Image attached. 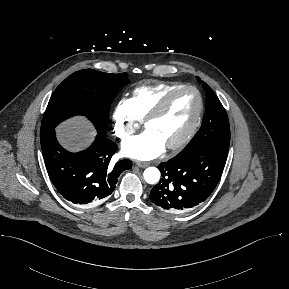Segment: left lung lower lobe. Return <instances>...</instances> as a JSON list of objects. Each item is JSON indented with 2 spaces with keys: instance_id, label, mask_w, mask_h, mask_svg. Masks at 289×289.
Wrapping results in <instances>:
<instances>
[{
  "instance_id": "1",
  "label": "left lung lower lobe",
  "mask_w": 289,
  "mask_h": 289,
  "mask_svg": "<svg viewBox=\"0 0 289 289\" xmlns=\"http://www.w3.org/2000/svg\"><path fill=\"white\" fill-rule=\"evenodd\" d=\"M227 155L226 147L207 146L160 163L162 178L150 192L151 201L171 213L195 208L215 189Z\"/></svg>"
}]
</instances>
